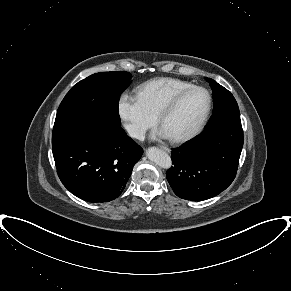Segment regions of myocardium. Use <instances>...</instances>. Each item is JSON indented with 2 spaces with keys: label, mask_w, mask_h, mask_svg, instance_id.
<instances>
[{
  "label": "myocardium",
  "mask_w": 291,
  "mask_h": 291,
  "mask_svg": "<svg viewBox=\"0 0 291 291\" xmlns=\"http://www.w3.org/2000/svg\"><path fill=\"white\" fill-rule=\"evenodd\" d=\"M195 90H201L203 92H205V94L207 95V105L206 108L200 118V120L198 121V123L196 124V126L187 134L180 136V137H175V138H169V140L172 143L175 144H181V143H185L191 139H193L194 137H196L204 128L210 112H211V108H212V95L210 93V91L203 87V86H199V85H192L186 89H183L181 91H179L178 93H176L166 104L165 106L161 109V111L159 112L158 116H157V122L158 125L160 127H162V124L165 120V118L170 115L175 109L176 107L179 105V103L182 101V99L188 95L190 92L195 91Z\"/></svg>",
  "instance_id": "myocardium-1"
}]
</instances>
